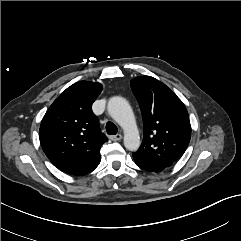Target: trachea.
<instances>
[{
	"label": "trachea",
	"mask_w": 241,
	"mask_h": 241,
	"mask_svg": "<svg viewBox=\"0 0 241 241\" xmlns=\"http://www.w3.org/2000/svg\"><path fill=\"white\" fill-rule=\"evenodd\" d=\"M106 131L109 135H116L118 130L116 125L113 122H107Z\"/></svg>",
	"instance_id": "1"
}]
</instances>
